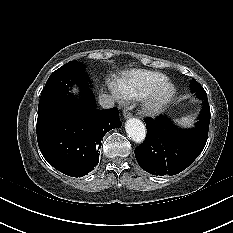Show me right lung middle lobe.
<instances>
[{"label": "right lung middle lobe", "mask_w": 233, "mask_h": 233, "mask_svg": "<svg viewBox=\"0 0 233 233\" xmlns=\"http://www.w3.org/2000/svg\"><path fill=\"white\" fill-rule=\"evenodd\" d=\"M73 84L80 88L88 86L84 66L77 61L68 62L50 75L40 97L38 117L67 107L72 97L68 88Z\"/></svg>", "instance_id": "obj_1"}]
</instances>
